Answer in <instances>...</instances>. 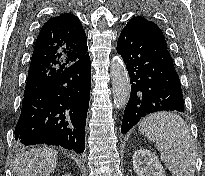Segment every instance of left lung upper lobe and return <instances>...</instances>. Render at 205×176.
Wrapping results in <instances>:
<instances>
[{
	"instance_id": "5c2ea615",
	"label": "left lung upper lobe",
	"mask_w": 205,
	"mask_h": 176,
	"mask_svg": "<svg viewBox=\"0 0 205 176\" xmlns=\"http://www.w3.org/2000/svg\"><path fill=\"white\" fill-rule=\"evenodd\" d=\"M126 27L133 29L143 38L167 48L163 32L154 22L137 16L133 17Z\"/></svg>"
}]
</instances>
